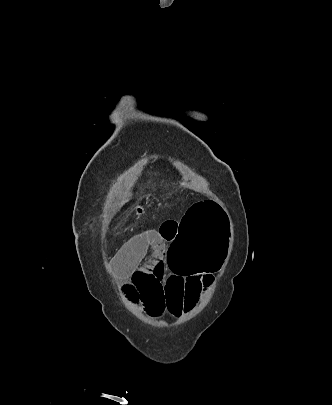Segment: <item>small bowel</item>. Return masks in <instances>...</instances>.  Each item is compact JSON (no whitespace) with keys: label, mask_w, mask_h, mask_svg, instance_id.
Instances as JSON below:
<instances>
[{"label":"small bowel","mask_w":332,"mask_h":405,"mask_svg":"<svg viewBox=\"0 0 332 405\" xmlns=\"http://www.w3.org/2000/svg\"><path fill=\"white\" fill-rule=\"evenodd\" d=\"M135 217L145 210L135 208ZM175 221L133 236L112 256L111 262L123 279H130L143 302L146 320H163L168 312L180 316L197 304L212 275H176L166 269V256L176 240ZM149 254V255H148Z\"/></svg>","instance_id":"1"}]
</instances>
